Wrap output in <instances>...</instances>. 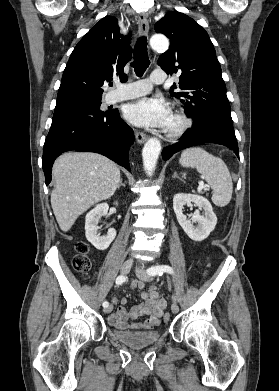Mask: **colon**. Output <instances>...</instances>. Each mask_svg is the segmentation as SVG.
<instances>
[{"instance_id": "1", "label": "colon", "mask_w": 279, "mask_h": 391, "mask_svg": "<svg viewBox=\"0 0 279 391\" xmlns=\"http://www.w3.org/2000/svg\"><path fill=\"white\" fill-rule=\"evenodd\" d=\"M88 251L89 247L85 242L80 241L76 244L77 254L73 258L72 265L74 269L82 275H87L92 267V262L88 257ZM169 318V313H166L164 315V320H168Z\"/></svg>"}]
</instances>
